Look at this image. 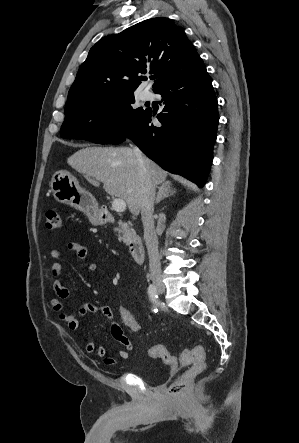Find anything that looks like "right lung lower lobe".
<instances>
[{"label": "right lung lower lobe", "instance_id": "right-lung-lower-lobe-1", "mask_svg": "<svg viewBox=\"0 0 299 443\" xmlns=\"http://www.w3.org/2000/svg\"><path fill=\"white\" fill-rule=\"evenodd\" d=\"M154 92L165 104L157 115L161 125L150 124L155 112L146 109L110 144L129 138L162 168L202 187L212 162L219 121L217 98L206 68L174 79Z\"/></svg>", "mask_w": 299, "mask_h": 443}]
</instances>
